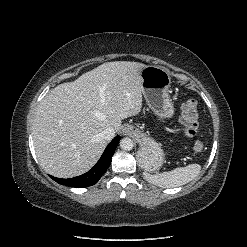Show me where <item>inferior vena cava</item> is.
Segmentation results:
<instances>
[{"instance_id": "602c4592", "label": "inferior vena cava", "mask_w": 247, "mask_h": 247, "mask_svg": "<svg viewBox=\"0 0 247 247\" xmlns=\"http://www.w3.org/2000/svg\"><path fill=\"white\" fill-rule=\"evenodd\" d=\"M101 135L107 141L112 140L115 137V130L112 127H108L102 131Z\"/></svg>"}]
</instances>
